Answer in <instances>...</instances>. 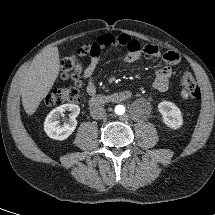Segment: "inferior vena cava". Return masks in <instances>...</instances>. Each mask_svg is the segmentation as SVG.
I'll return each instance as SVG.
<instances>
[{
    "label": "inferior vena cava",
    "mask_w": 215,
    "mask_h": 215,
    "mask_svg": "<svg viewBox=\"0 0 215 215\" xmlns=\"http://www.w3.org/2000/svg\"><path fill=\"white\" fill-rule=\"evenodd\" d=\"M90 115L95 120H100L106 117V110L101 105H96L91 108Z\"/></svg>",
    "instance_id": "obj_1"
}]
</instances>
